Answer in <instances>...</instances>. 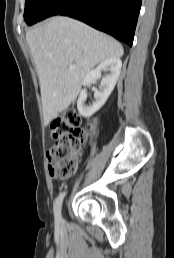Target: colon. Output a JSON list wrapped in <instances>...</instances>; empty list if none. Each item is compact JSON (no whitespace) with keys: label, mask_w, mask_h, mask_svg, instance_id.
<instances>
[{"label":"colon","mask_w":174,"mask_h":258,"mask_svg":"<svg viewBox=\"0 0 174 258\" xmlns=\"http://www.w3.org/2000/svg\"><path fill=\"white\" fill-rule=\"evenodd\" d=\"M80 123V116L73 110L51 123L50 137L53 145L47 157L50 171L57 178H68L77 168L80 148L85 140Z\"/></svg>","instance_id":"obj_1"}]
</instances>
